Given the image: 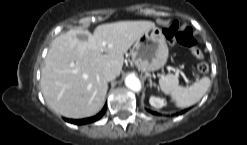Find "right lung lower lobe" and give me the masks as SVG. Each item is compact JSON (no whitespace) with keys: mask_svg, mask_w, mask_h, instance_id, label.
Listing matches in <instances>:
<instances>
[{"mask_svg":"<svg viewBox=\"0 0 247 145\" xmlns=\"http://www.w3.org/2000/svg\"><path fill=\"white\" fill-rule=\"evenodd\" d=\"M105 111H106V105L103 108V110L99 114H97L96 116H94V117L87 118V119H80V120L66 119V121L67 122H70V123H73V124H77V125L91 123V122H94V121L100 119L103 116V114L105 113Z\"/></svg>","mask_w":247,"mask_h":145,"instance_id":"right-lung-lower-lobe-1","label":"right lung lower lobe"}]
</instances>
